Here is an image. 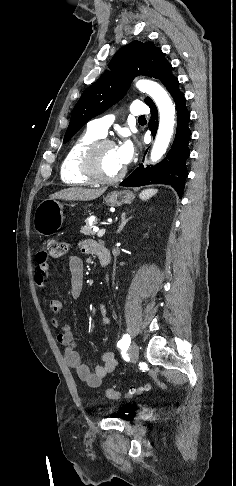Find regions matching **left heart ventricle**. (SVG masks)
<instances>
[{
	"label": "left heart ventricle",
	"mask_w": 236,
	"mask_h": 486,
	"mask_svg": "<svg viewBox=\"0 0 236 486\" xmlns=\"http://www.w3.org/2000/svg\"><path fill=\"white\" fill-rule=\"evenodd\" d=\"M98 168L105 177H113L124 168L115 146L103 147L98 154Z\"/></svg>",
	"instance_id": "left-heart-ventricle-1"
}]
</instances>
